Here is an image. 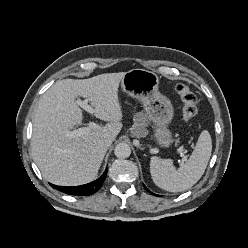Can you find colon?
Listing matches in <instances>:
<instances>
[{
	"label": "colon",
	"mask_w": 248,
	"mask_h": 248,
	"mask_svg": "<svg viewBox=\"0 0 248 248\" xmlns=\"http://www.w3.org/2000/svg\"><path fill=\"white\" fill-rule=\"evenodd\" d=\"M175 91L183 102L182 113L184 121H191L197 115L196 95L191 91V89L187 85L183 83L177 84L175 87Z\"/></svg>",
	"instance_id": "1"
}]
</instances>
